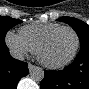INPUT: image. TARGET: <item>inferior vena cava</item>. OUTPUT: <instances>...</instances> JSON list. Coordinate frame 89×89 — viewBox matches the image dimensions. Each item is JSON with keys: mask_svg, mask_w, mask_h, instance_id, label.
Wrapping results in <instances>:
<instances>
[{"mask_svg": "<svg viewBox=\"0 0 89 89\" xmlns=\"http://www.w3.org/2000/svg\"><path fill=\"white\" fill-rule=\"evenodd\" d=\"M11 55L18 60H24V55L21 52L12 51Z\"/></svg>", "mask_w": 89, "mask_h": 89, "instance_id": "inferior-vena-cava-1", "label": "inferior vena cava"}]
</instances>
